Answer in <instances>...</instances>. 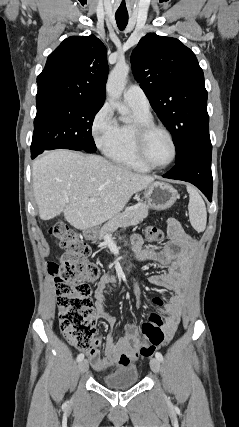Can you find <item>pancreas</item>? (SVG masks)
I'll list each match as a JSON object with an SVG mask.
<instances>
[{
  "label": "pancreas",
  "instance_id": "pancreas-1",
  "mask_svg": "<svg viewBox=\"0 0 239 427\" xmlns=\"http://www.w3.org/2000/svg\"><path fill=\"white\" fill-rule=\"evenodd\" d=\"M148 216V205L145 203H140L134 208L126 210L111 220H109L104 226L101 228V238H105L107 234L113 233L119 227H128L137 225L144 220Z\"/></svg>",
  "mask_w": 239,
  "mask_h": 427
}]
</instances>
